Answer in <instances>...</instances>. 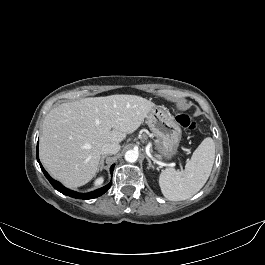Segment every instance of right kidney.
<instances>
[{
	"mask_svg": "<svg viewBox=\"0 0 265 265\" xmlns=\"http://www.w3.org/2000/svg\"><path fill=\"white\" fill-rule=\"evenodd\" d=\"M103 177H99L98 179H96V181H95V185H100V184H102L103 183Z\"/></svg>",
	"mask_w": 265,
	"mask_h": 265,
	"instance_id": "right-kidney-1",
	"label": "right kidney"
}]
</instances>
